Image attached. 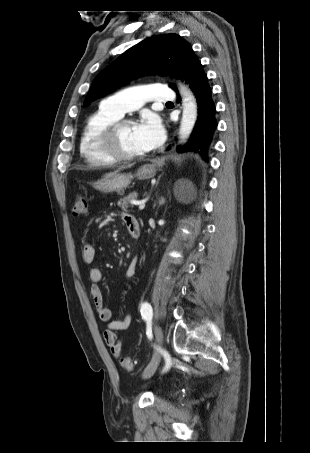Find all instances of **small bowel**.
Here are the masks:
<instances>
[{"label":"small bowel","instance_id":"small-bowel-1","mask_svg":"<svg viewBox=\"0 0 310 453\" xmlns=\"http://www.w3.org/2000/svg\"><path fill=\"white\" fill-rule=\"evenodd\" d=\"M121 218L125 223L127 229L135 224L138 223L137 219L129 213H122ZM82 260L86 264H91L95 257V249L94 247L85 242L82 246ZM137 267V258L133 257L126 268L123 278L130 279L135 275ZM88 279L92 283L90 287V296L92 298L94 307L98 313V316L101 321L107 322L108 327L104 331L103 336L105 343L110 348L112 355L116 358L121 357L122 355V345L120 340L117 337L118 331H125L130 327L131 324V316L129 314L123 316L120 319H112V312L111 310L105 305L102 292L98 286V283L102 281V271L97 266H90L87 270Z\"/></svg>","mask_w":310,"mask_h":453}]
</instances>
